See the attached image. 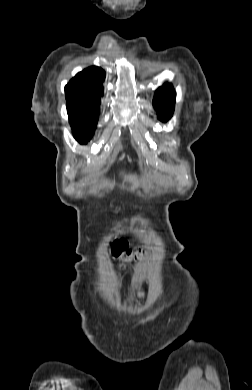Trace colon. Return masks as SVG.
I'll return each instance as SVG.
<instances>
[{"label": "colon", "instance_id": "colon-1", "mask_svg": "<svg viewBox=\"0 0 252 390\" xmlns=\"http://www.w3.org/2000/svg\"><path fill=\"white\" fill-rule=\"evenodd\" d=\"M111 255L125 265L140 262L143 253L141 250H132L126 240L116 239L111 244Z\"/></svg>", "mask_w": 252, "mask_h": 390}]
</instances>
